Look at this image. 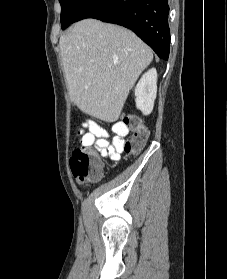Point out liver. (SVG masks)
Listing matches in <instances>:
<instances>
[{
	"instance_id": "6515ba94",
	"label": "liver",
	"mask_w": 227,
	"mask_h": 279,
	"mask_svg": "<svg viewBox=\"0 0 227 279\" xmlns=\"http://www.w3.org/2000/svg\"><path fill=\"white\" fill-rule=\"evenodd\" d=\"M70 100L85 114L115 122L153 53L132 31L84 19L60 37Z\"/></svg>"
}]
</instances>
